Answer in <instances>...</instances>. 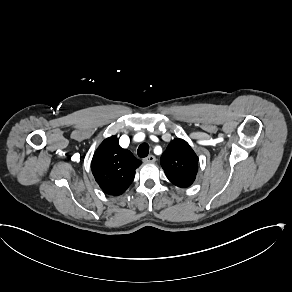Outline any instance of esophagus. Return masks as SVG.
<instances>
[{"instance_id": "1", "label": "esophagus", "mask_w": 292, "mask_h": 292, "mask_svg": "<svg viewBox=\"0 0 292 292\" xmlns=\"http://www.w3.org/2000/svg\"><path fill=\"white\" fill-rule=\"evenodd\" d=\"M156 161L155 156L149 155L143 159L144 163H154Z\"/></svg>"}]
</instances>
